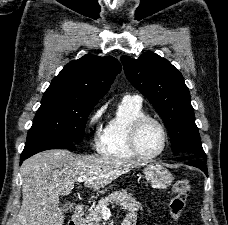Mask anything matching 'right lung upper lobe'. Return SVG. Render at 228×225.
Returning a JSON list of instances; mask_svg holds the SVG:
<instances>
[{"mask_svg":"<svg viewBox=\"0 0 228 225\" xmlns=\"http://www.w3.org/2000/svg\"><path fill=\"white\" fill-rule=\"evenodd\" d=\"M120 71L121 65L114 57L85 55L69 62L59 75L53 78L47 91L98 102Z\"/></svg>","mask_w":228,"mask_h":225,"instance_id":"1","label":"right lung upper lobe"}]
</instances>
